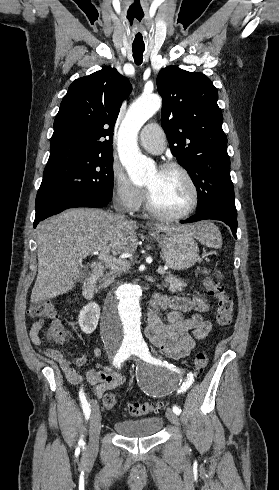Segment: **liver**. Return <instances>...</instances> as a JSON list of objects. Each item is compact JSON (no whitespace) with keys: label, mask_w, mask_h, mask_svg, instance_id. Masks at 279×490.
<instances>
[{"label":"liver","mask_w":279,"mask_h":490,"mask_svg":"<svg viewBox=\"0 0 279 490\" xmlns=\"http://www.w3.org/2000/svg\"><path fill=\"white\" fill-rule=\"evenodd\" d=\"M158 232H183L193 238L205 232L206 222L192 226L154 224ZM137 222L120 220L94 208H72L38 224L36 232L38 274L32 304L67 294L80 278L82 260L97 252L134 254L138 248Z\"/></svg>","instance_id":"6515ba94"}]
</instances>
